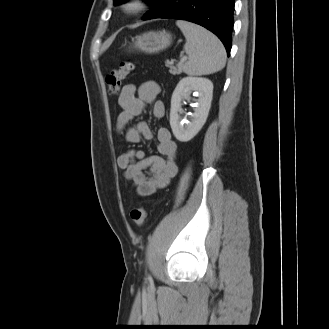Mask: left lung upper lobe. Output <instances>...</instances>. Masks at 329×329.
Returning a JSON list of instances; mask_svg holds the SVG:
<instances>
[{
  "mask_svg": "<svg viewBox=\"0 0 329 329\" xmlns=\"http://www.w3.org/2000/svg\"><path fill=\"white\" fill-rule=\"evenodd\" d=\"M128 0H114V5L121 4L123 2H126ZM157 0H146L147 3L153 5Z\"/></svg>",
  "mask_w": 329,
  "mask_h": 329,
  "instance_id": "5c2ea615",
  "label": "left lung upper lobe"
}]
</instances>
